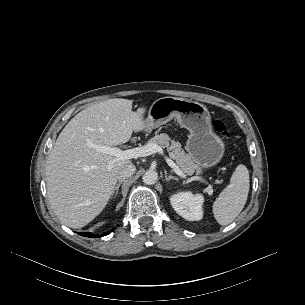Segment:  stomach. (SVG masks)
Segmentation results:
<instances>
[{
	"label": "stomach",
	"mask_w": 305,
	"mask_h": 305,
	"mask_svg": "<svg viewBox=\"0 0 305 305\" xmlns=\"http://www.w3.org/2000/svg\"><path fill=\"white\" fill-rule=\"evenodd\" d=\"M173 118L189 131L186 150L200 168H210L219 163L225 146L212 131L211 116L203 104L177 97L159 98L148 110L145 131L159 128Z\"/></svg>",
	"instance_id": "obj_1"
}]
</instances>
